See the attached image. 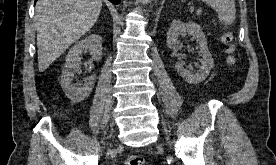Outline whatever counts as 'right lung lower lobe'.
Listing matches in <instances>:
<instances>
[{
	"label": "right lung lower lobe",
	"mask_w": 276,
	"mask_h": 165,
	"mask_svg": "<svg viewBox=\"0 0 276 165\" xmlns=\"http://www.w3.org/2000/svg\"><path fill=\"white\" fill-rule=\"evenodd\" d=\"M37 0H35L36 2ZM110 2H112L113 4H119L121 0H109Z\"/></svg>",
	"instance_id": "98d812e1"
}]
</instances>
